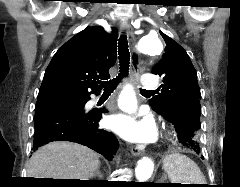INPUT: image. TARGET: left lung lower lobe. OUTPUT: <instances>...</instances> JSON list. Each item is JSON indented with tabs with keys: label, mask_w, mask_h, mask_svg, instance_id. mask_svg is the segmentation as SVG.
<instances>
[{
	"label": "left lung lower lobe",
	"mask_w": 240,
	"mask_h": 187,
	"mask_svg": "<svg viewBox=\"0 0 240 187\" xmlns=\"http://www.w3.org/2000/svg\"><path fill=\"white\" fill-rule=\"evenodd\" d=\"M166 119L174 125L178 133L179 142L184 147L199 153L198 131L194 128V126L183 123H175L168 118Z\"/></svg>",
	"instance_id": "obj_1"
}]
</instances>
